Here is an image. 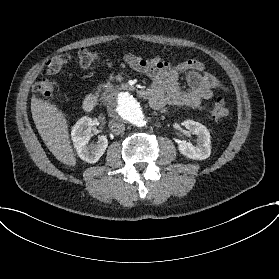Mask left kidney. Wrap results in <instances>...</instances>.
Masks as SVG:
<instances>
[{"label":"left kidney","mask_w":279,"mask_h":279,"mask_svg":"<svg viewBox=\"0 0 279 279\" xmlns=\"http://www.w3.org/2000/svg\"><path fill=\"white\" fill-rule=\"evenodd\" d=\"M184 126L188 133L196 136L197 144L179 142L177 148L186 158L202 161L211 155V137L208 129L194 120H186Z\"/></svg>","instance_id":"obj_1"}]
</instances>
